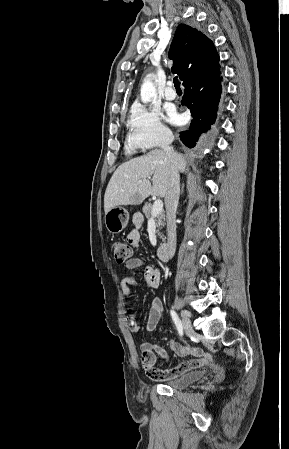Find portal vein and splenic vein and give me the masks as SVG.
<instances>
[{
  "mask_svg": "<svg viewBox=\"0 0 289 449\" xmlns=\"http://www.w3.org/2000/svg\"><path fill=\"white\" fill-rule=\"evenodd\" d=\"M141 182H142V180L139 181V183H141ZM162 210H163V202H162V200L158 199L153 204L151 214H152V216H156L157 214L162 212Z\"/></svg>",
  "mask_w": 289,
  "mask_h": 449,
  "instance_id": "1",
  "label": "portal vein and splenic vein"
}]
</instances>
